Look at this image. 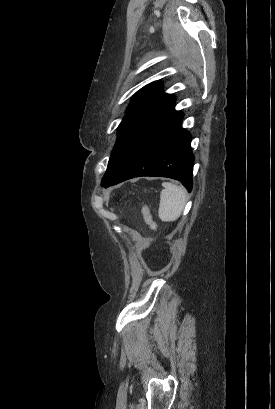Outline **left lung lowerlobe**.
<instances>
[{"label":"left lung lower lobe","instance_id":"1","mask_svg":"<svg viewBox=\"0 0 275 409\" xmlns=\"http://www.w3.org/2000/svg\"><path fill=\"white\" fill-rule=\"evenodd\" d=\"M182 119L183 113L172 108L155 122L130 150L110 186L134 177L156 176L179 180L191 191L194 156L191 134L182 128Z\"/></svg>","mask_w":275,"mask_h":409}]
</instances>
